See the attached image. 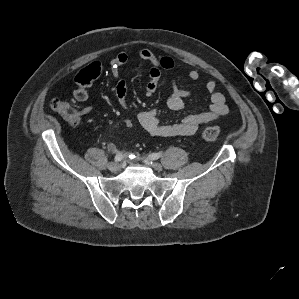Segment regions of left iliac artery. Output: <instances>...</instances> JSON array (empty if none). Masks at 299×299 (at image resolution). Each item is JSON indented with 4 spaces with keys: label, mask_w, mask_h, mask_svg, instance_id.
I'll return each mask as SVG.
<instances>
[{
    "label": "left iliac artery",
    "mask_w": 299,
    "mask_h": 299,
    "mask_svg": "<svg viewBox=\"0 0 299 299\" xmlns=\"http://www.w3.org/2000/svg\"><path fill=\"white\" fill-rule=\"evenodd\" d=\"M162 156V152L159 153H152L151 155H149L150 159L156 160L158 158H160Z\"/></svg>",
    "instance_id": "obj_1"
}]
</instances>
